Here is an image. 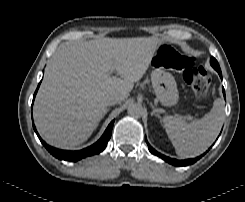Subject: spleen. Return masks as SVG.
<instances>
[{
	"label": "spleen",
	"mask_w": 245,
	"mask_h": 202,
	"mask_svg": "<svg viewBox=\"0 0 245 202\" xmlns=\"http://www.w3.org/2000/svg\"><path fill=\"white\" fill-rule=\"evenodd\" d=\"M162 121L177 155L195 157L206 151L216 139L224 121V102L216 99L209 113L190 123L175 116H164Z\"/></svg>",
	"instance_id": "spleen-1"
}]
</instances>
